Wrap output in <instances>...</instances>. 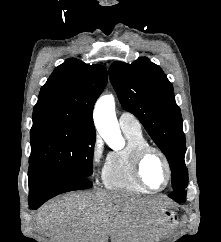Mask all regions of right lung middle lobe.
Returning a JSON list of instances; mask_svg holds the SVG:
<instances>
[{
  "mask_svg": "<svg viewBox=\"0 0 221 242\" xmlns=\"http://www.w3.org/2000/svg\"><path fill=\"white\" fill-rule=\"evenodd\" d=\"M30 139L29 172L57 171L84 177L93 173L94 130L48 124L32 127Z\"/></svg>",
  "mask_w": 221,
  "mask_h": 242,
  "instance_id": "obj_1",
  "label": "right lung middle lobe"
}]
</instances>
